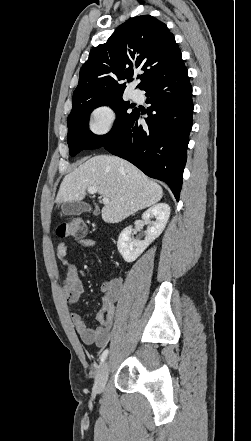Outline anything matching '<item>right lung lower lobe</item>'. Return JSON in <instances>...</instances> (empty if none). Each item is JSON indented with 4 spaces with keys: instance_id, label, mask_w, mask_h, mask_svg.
<instances>
[{
    "instance_id": "98d812e1",
    "label": "right lung lower lobe",
    "mask_w": 251,
    "mask_h": 441,
    "mask_svg": "<svg viewBox=\"0 0 251 441\" xmlns=\"http://www.w3.org/2000/svg\"><path fill=\"white\" fill-rule=\"evenodd\" d=\"M147 126L140 125L142 113L133 117L102 146L128 160L151 178L164 181L179 201L192 128V87L184 66L148 84Z\"/></svg>"
}]
</instances>
